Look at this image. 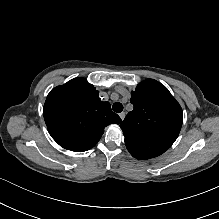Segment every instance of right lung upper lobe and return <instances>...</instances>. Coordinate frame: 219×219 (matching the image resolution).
I'll list each match as a JSON object with an SVG mask.
<instances>
[{"label":"right lung upper lobe","instance_id":"right-lung-upper-lobe-1","mask_svg":"<svg viewBox=\"0 0 219 219\" xmlns=\"http://www.w3.org/2000/svg\"><path fill=\"white\" fill-rule=\"evenodd\" d=\"M45 123L53 139L63 148L82 152L100 140L109 124H120L109 102L82 77L55 87L48 94L44 109Z\"/></svg>","mask_w":219,"mask_h":219}]
</instances>
